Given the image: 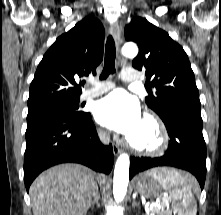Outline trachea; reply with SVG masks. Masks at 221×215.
I'll use <instances>...</instances> for the list:
<instances>
[{
  "label": "trachea",
  "mask_w": 221,
  "mask_h": 215,
  "mask_svg": "<svg viewBox=\"0 0 221 215\" xmlns=\"http://www.w3.org/2000/svg\"><path fill=\"white\" fill-rule=\"evenodd\" d=\"M111 73H115V42L113 37L109 35L105 46L104 69L100 79H106Z\"/></svg>",
  "instance_id": "obj_1"
}]
</instances>
